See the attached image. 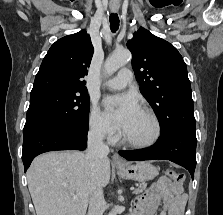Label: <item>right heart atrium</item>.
Instances as JSON below:
<instances>
[{
  "label": "right heart atrium",
  "mask_w": 223,
  "mask_h": 215,
  "mask_svg": "<svg viewBox=\"0 0 223 215\" xmlns=\"http://www.w3.org/2000/svg\"><path fill=\"white\" fill-rule=\"evenodd\" d=\"M89 128L99 139H114L117 136L115 128L97 106H92L90 110Z\"/></svg>",
  "instance_id": "right-heart-atrium-1"
}]
</instances>
